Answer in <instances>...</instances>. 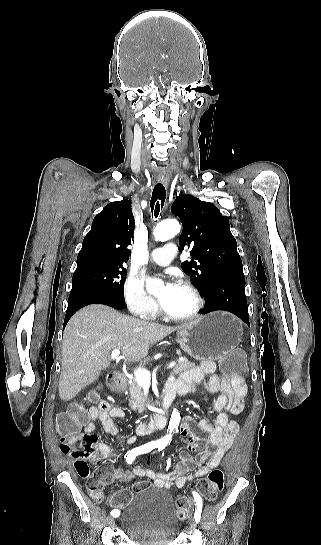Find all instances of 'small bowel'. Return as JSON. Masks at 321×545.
Here are the masks:
<instances>
[{
	"label": "small bowel",
	"instance_id": "1",
	"mask_svg": "<svg viewBox=\"0 0 321 545\" xmlns=\"http://www.w3.org/2000/svg\"><path fill=\"white\" fill-rule=\"evenodd\" d=\"M216 370V363L207 360L200 366L188 369L181 375L180 380L175 381L184 395L194 392L195 385L203 383L206 375H211L204 387L210 393H218V396L209 404L210 409L216 413L214 424L206 419L197 421L191 416L186 417L181 426V438L185 446L179 453V462L174 469L168 473H161L136 466L132 471L134 475L149 478L157 488L168 489L174 486L181 489L197 478L205 476L220 464L238 431L237 422L230 419L229 415L242 412L248 389L243 378L216 374ZM124 415L123 409L113 406L108 401H103L98 407L90 409L84 431L86 434H92L95 422L99 421L104 432L116 435L118 429L113 419ZM135 441V437H129L126 443L132 444ZM123 444L124 442L121 443V445ZM98 451L100 456L96 461L100 463L102 460L114 456L116 452L115 449L104 443L98 444ZM192 453H196V455L192 456ZM81 462L84 464L86 473L89 474L85 459H77L75 465ZM76 470L79 472V469L76 468ZM97 471L107 473L104 484L126 480L130 476L123 469L110 464H103Z\"/></svg>",
	"mask_w": 321,
	"mask_h": 545
}]
</instances>
